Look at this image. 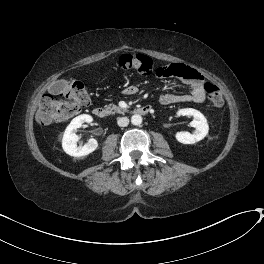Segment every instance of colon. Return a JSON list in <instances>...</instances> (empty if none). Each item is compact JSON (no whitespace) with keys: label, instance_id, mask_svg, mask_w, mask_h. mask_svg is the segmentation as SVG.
Listing matches in <instances>:
<instances>
[{"label":"colon","instance_id":"5ec220e1","mask_svg":"<svg viewBox=\"0 0 264 264\" xmlns=\"http://www.w3.org/2000/svg\"><path fill=\"white\" fill-rule=\"evenodd\" d=\"M118 67L124 71H137L143 75L155 72L159 76L169 75L168 67H155L151 58L142 54H123L118 59ZM209 101L216 107L223 105L220 89L212 82L204 84ZM90 102L84 83L76 81L63 87L56 95L44 94L36 114L37 121L43 125L65 122L76 116Z\"/></svg>","mask_w":264,"mask_h":264}]
</instances>
